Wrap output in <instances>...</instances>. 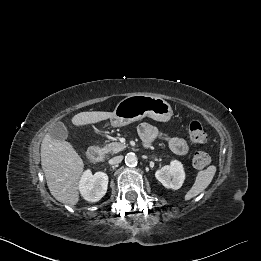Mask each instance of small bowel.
Segmentation results:
<instances>
[{"mask_svg": "<svg viewBox=\"0 0 261 261\" xmlns=\"http://www.w3.org/2000/svg\"><path fill=\"white\" fill-rule=\"evenodd\" d=\"M138 132L146 145L151 144L158 137H163L175 154L183 156L189 152V146L183 138L167 136L148 123L141 124Z\"/></svg>", "mask_w": 261, "mask_h": 261, "instance_id": "small-bowel-1", "label": "small bowel"}]
</instances>
